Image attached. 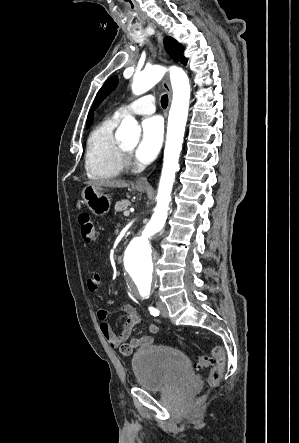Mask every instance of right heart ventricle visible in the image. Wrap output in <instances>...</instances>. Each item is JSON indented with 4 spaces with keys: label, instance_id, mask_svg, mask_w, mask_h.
I'll return each mask as SVG.
<instances>
[{
    "label": "right heart ventricle",
    "instance_id": "e07e8e85",
    "mask_svg": "<svg viewBox=\"0 0 299 443\" xmlns=\"http://www.w3.org/2000/svg\"><path fill=\"white\" fill-rule=\"evenodd\" d=\"M117 118H109L97 125L90 133L85 154V169L92 179L118 177L124 168L121 144L114 129Z\"/></svg>",
    "mask_w": 299,
    "mask_h": 443
}]
</instances>
